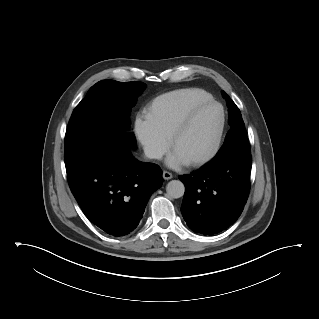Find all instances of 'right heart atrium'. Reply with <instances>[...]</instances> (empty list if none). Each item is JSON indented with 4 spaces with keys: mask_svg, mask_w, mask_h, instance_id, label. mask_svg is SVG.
Listing matches in <instances>:
<instances>
[{
    "mask_svg": "<svg viewBox=\"0 0 319 319\" xmlns=\"http://www.w3.org/2000/svg\"><path fill=\"white\" fill-rule=\"evenodd\" d=\"M136 137L146 155L151 159H160L168 149V139L142 114L134 122Z\"/></svg>",
    "mask_w": 319,
    "mask_h": 319,
    "instance_id": "d8ad5b80",
    "label": "right heart atrium"
}]
</instances>
